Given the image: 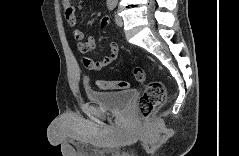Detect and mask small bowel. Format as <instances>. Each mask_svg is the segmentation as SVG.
I'll return each mask as SVG.
<instances>
[{"label": "small bowel", "mask_w": 239, "mask_h": 156, "mask_svg": "<svg viewBox=\"0 0 239 156\" xmlns=\"http://www.w3.org/2000/svg\"><path fill=\"white\" fill-rule=\"evenodd\" d=\"M62 6L65 12V18L67 23L73 27V37L78 42V49L81 53L86 54L95 49V39L90 36L86 41L84 39V33L81 29L77 28V12L84 8V2L78 1L72 3L69 0H64ZM101 26L108 27L109 19L104 17L101 19ZM109 53L101 60H95L88 56L83 58L84 66L91 71H99L104 67H107L115 62L118 57V45L115 42H109Z\"/></svg>", "instance_id": "small-bowel-1"}]
</instances>
